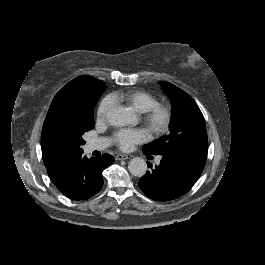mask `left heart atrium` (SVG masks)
Returning a JSON list of instances; mask_svg holds the SVG:
<instances>
[{
  "label": "left heart atrium",
  "mask_w": 265,
  "mask_h": 265,
  "mask_svg": "<svg viewBox=\"0 0 265 265\" xmlns=\"http://www.w3.org/2000/svg\"><path fill=\"white\" fill-rule=\"evenodd\" d=\"M112 138L121 150L129 151L134 145L147 141L149 134L145 129L121 128L114 132Z\"/></svg>",
  "instance_id": "left-heart-atrium-1"
}]
</instances>
